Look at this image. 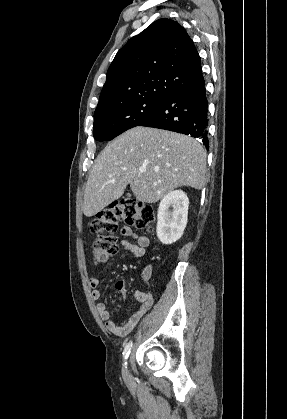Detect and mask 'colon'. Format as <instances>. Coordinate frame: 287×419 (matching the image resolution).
<instances>
[{"mask_svg":"<svg viewBox=\"0 0 287 419\" xmlns=\"http://www.w3.org/2000/svg\"><path fill=\"white\" fill-rule=\"evenodd\" d=\"M154 219V209L133 198H122L100 211L90 224L91 231L96 235L91 245L94 261L105 262L116 253L117 243L114 235L120 222L150 229Z\"/></svg>","mask_w":287,"mask_h":419,"instance_id":"obj_1","label":"colon"}]
</instances>
